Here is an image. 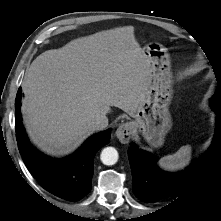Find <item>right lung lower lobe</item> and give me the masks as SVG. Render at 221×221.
Returning <instances> with one entry per match:
<instances>
[{
	"label": "right lung lower lobe",
	"instance_id": "right-lung-lower-lobe-1",
	"mask_svg": "<svg viewBox=\"0 0 221 221\" xmlns=\"http://www.w3.org/2000/svg\"><path fill=\"white\" fill-rule=\"evenodd\" d=\"M22 88L15 100V130L23 161L40 185L55 196L69 201L82 199L91 189L96 152L110 141L111 129L95 134L71 156L53 159L29 142L20 113Z\"/></svg>",
	"mask_w": 221,
	"mask_h": 221
}]
</instances>
